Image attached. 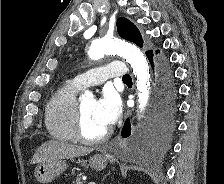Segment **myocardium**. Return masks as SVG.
Masks as SVG:
<instances>
[{
	"mask_svg": "<svg viewBox=\"0 0 224 184\" xmlns=\"http://www.w3.org/2000/svg\"><path fill=\"white\" fill-rule=\"evenodd\" d=\"M73 131L75 140L89 145H96L105 142L111 135V129H107L101 136L96 138L87 137L83 132V111L81 103L77 102L74 118H73Z\"/></svg>",
	"mask_w": 224,
	"mask_h": 184,
	"instance_id": "f54148a6",
	"label": "myocardium"
}]
</instances>
